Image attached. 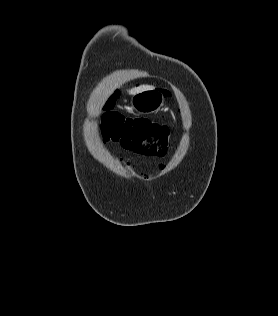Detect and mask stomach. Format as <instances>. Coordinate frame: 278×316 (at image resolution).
Masks as SVG:
<instances>
[{"label": "stomach", "instance_id": "0dacf381", "mask_svg": "<svg viewBox=\"0 0 278 316\" xmlns=\"http://www.w3.org/2000/svg\"><path fill=\"white\" fill-rule=\"evenodd\" d=\"M164 101L163 92L155 89L145 90L132 96L130 108L135 114H151L157 112L164 105Z\"/></svg>", "mask_w": 278, "mask_h": 316}]
</instances>
